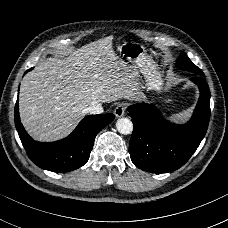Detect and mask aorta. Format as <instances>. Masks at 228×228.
I'll list each match as a JSON object with an SVG mask.
<instances>
[{
	"mask_svg": "<svg viewBox=\"0 0 228 228\" xmlns=\"http://www.w3.org/2000/svg\"><path fill=\"white\" fill-rule=\"evenodd\" d=\"M116 127L122 135H130L133 132V123L128 118H120L117 121Z\"/></svg>",
	"mask_w": 228,
	"mask_h": 228,
	"instance_id": "obj_1",
	"label": "aorta"
}]
</instances>
